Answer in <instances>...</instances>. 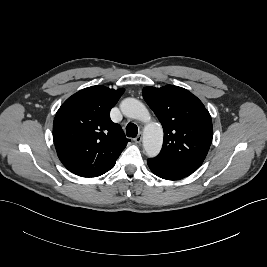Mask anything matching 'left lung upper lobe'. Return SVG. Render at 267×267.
Masks as SVG:
<instances>
[{
  "label": "left lung upper lobe",
  "instance_id": "left-lung-upper-lobe-1",
  "mask_svg": "<svg viewBox=\"0 0 267 267\" xmlns=\"http://www.w3.org/2000/svg\"><path fill=\"white\" fill-rule=\"evenodd\" d=\"M142 95L163 126V147L155 159L199 168L213 138L212 120L203 103L173 85L145 87Z\"/></svg>",
  "mask_w": 267,
  "mask_h": 267
}]
</instances>
